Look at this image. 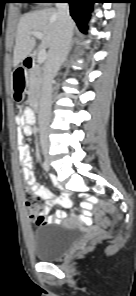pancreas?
Here are the masks:
<instances>
[{
  "label": "pancreas",
  "mask_w": 136,
  "mask_h": 296,
  "mask_svg": "<svg viewBox=\"0 0 136 296\" xmlns=\"http://www.w3.org/2000/svg\"><path fill=\"white\" fill-rule=\"evenodd\" d=\"M27 85L30 101L35 103L40 95L42 85V69L39 66H35L29 70Z\"/></svg>",
  "instance_id": "pancreas-1"
}]
</instances>
